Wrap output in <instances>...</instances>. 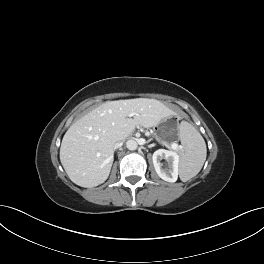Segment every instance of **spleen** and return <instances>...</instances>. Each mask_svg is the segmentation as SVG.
Segmentation results:
<instances>
[{"label":"spleen","mask_w":264,"mask_h":264,"mask_svg":"<svg viewBox=\"0 0 264 264\" xmlns=\"http://www.w3.org/2000/svg\"><path fill=\"white\" fill-rule=\"evenodd\" d=\"M179 138L183 147V151L180 152L179 176L183 182H186L202 169L207 149L201 134L186 121H182L179 125Z\"/></svg>","instance_id":"3e777b00"}]
</instances>
